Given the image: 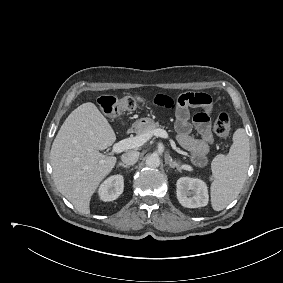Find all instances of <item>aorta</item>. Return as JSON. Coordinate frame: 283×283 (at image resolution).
Returning <instances> with one entry per match:
<instances>
[{"mask_svg": "<svg viewBox=\"0 0 283 283\" xmlns=\"http://www.w3.org/2000/svg\"><path fill=\"white\" fill-rule=\"evenodd\" d=\"M146 165L150 168H157L160 165V158L157 155H151L146 158Z\"/></svg>", "mask_w": 283, "mask_h": 283, "instance_id": "762f6f07", "label": "aorta"}]
</instances>
